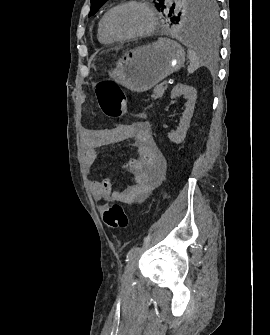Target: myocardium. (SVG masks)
<instances>
[{"label":"myocardium","mask_w":270,"mask_h":335,"mask_svg":"<svg viewBox=\"0 0 270 335\" xmlns=\"http://www.w3.org/2000/svg\"><path fill=\"white\" fill-rule=\"evenodd\" d=\"M128 4L140 5L143 8V10L146 12V14L148 15V17L150 19V25H149L147 30H145L143 32H140V33H136V34H122V33L117 32L116 30H114V28L112 26L113 15L120 8H122L124 5H128ZM157 23H158L157 17L155 15L154 11L149 6H147L144 3L137 2L135 0H130V1H125V2L119 3L118 5H116L114 8H112L108 12V14L106 16V19H105V28H106L107 32L112 37H114L116 39H119V40H138V39H142V38H145V37L151 35L154 32V30L157 26ZM140 51H141V49L138 48V49L132 50L131 52H140Z\"/></svg>","instance_id":"myocardium-1"}]
</instances>
